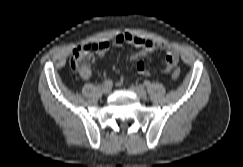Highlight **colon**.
Instances as JSON below:
<instances>
[{
	"label": "colon",
	"instance_id": "5ec220e1",
	"mask_svg": "<svg viewBox=\"0 0 243 167\" xmlns=\"http://www.w3.org/2000/svg\"><path fill=\"white\" fill-rule=\"evenodd\" d=\"M99 47L96 44H86L78 46L72 53L70 59V66L72 70L82 77L90 74V68L94 62L95 52ZM180 76V70L175 69L172 72V78L178 79Z\"/></svg>",
	"mask_w": 243,
	"mask_h": 167
}]
</instances>
